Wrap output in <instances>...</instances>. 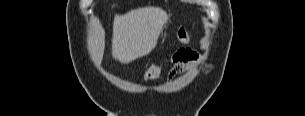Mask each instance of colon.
<instances>
[{
	"label": "colon",
	"instance_id": "obj_1",
	"mask_svg": "<svg viewBox=\"0 0 305 116\" xmlns=\"http://www.w3.org/2000/svg\"><path fill=\"white\" fill-rule=\"evenodd\" d=\"M176 38L180 45H186L190 41V34H189L188 30L182 26V27L178 28V30L176 32ZM185 51H186V49H184V48L178 49L175 52V54L173 55V59L184 57ZM162 69H163L162 64H155V65L150 66L147 69V71L145 72L144 81L150 82V81L157 79L159 77V75L161 74Z\"/></svg>",
	"mask_w": 305,
	"mask_h": 116
}]
</instances>
